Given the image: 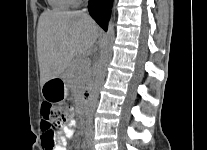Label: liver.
<instances>
[{"label":"liver","mask_w":207,"mask_h":150,"mask_svg":"<svg viewBox=\"0 0 207 150\" xmlns=\"http://www.w3.org/2000/svg\"><path fill=\"white\" fill-rule=\"evenodd\" d=\"M99 28L84 12L45 11L37 28L40 84L58 78L96 42Z\"/></svg>","instance_id":"liver-1"}]
</instances>
